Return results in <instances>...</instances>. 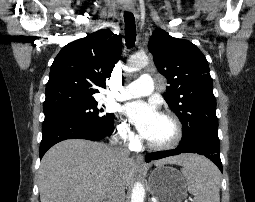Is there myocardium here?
Returning a JSON list of instances; mask_svg holds the SVG:
<instances>
[{"label":"myocardium","mask_w":255,"mask_h":202,"mask_svg":"<svg viewBox=\"0 0 255 202\" xmlns=\"http://www.w3.org/2000/svg\"><path fill=\"white\" fill-rule=\"evenodd\" d=\"M159 115L167 118L173 125L174 134L173 137L164 143H155L144 138L146 146L152 150L163 151L173 149L179 145L183 137V126L180 119L170 111L161 112Z\"/></svg>","instance_id":"myocardium-1"}]
</instances>
